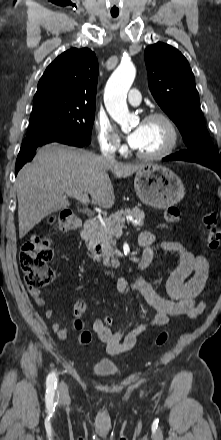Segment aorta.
<instances>
[{"mask_svg": "<svg viewBox=\"0 0 221 440\" xmlns=\"http://www.w3.org/2000/svg\"><path fill=\"white\" fill-rule=\"evenodd\" d=\"M135 75V67L131 63L122 62L110 76L104 91L105 107L122 128L127 127L131 121L126 97Z\"/></svg>", "mask_w": 221, "mask_h": 440, "instance_id": "obj_1", "label": "aorta"}]
</instances>
